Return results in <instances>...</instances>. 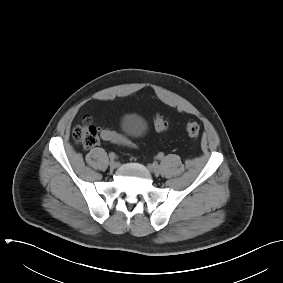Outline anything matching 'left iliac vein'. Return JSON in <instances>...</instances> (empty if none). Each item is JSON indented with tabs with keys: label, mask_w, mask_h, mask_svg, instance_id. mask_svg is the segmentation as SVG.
<instances>
[{
	"label": "left iliac vein",
	"mask_w": 283,
	"mask_h": 283,
	"mask_svg": "<svg viewBox=\"0 0 283 283\" xmlns=\"http://www.w3.org/2000/svg\"><path fill=\"white\" fill-rule=\"evenodd\" d=\"M149 170L154 173L156 176H158L161 173V168L159 165L156 164H150L148 165Z\"/></svg>",
	"instance_id": "4c4485c4"
}]
</instances>
